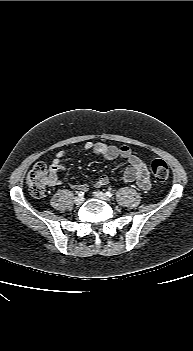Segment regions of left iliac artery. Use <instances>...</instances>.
<instances>
[{"label":"left iliac artery","instance_id":"obj_1","mask_svg":"<svg viewBox=\"0 0 193 351\" xmlns=\"http://www.w3.org/2000/svg\"><path fill=\"white\" fill-rule=\"evenodd\" d=\"M106 194H107V196H109V197L113 196V193L110 192V191H107Z\"/></svg>","mask_w":193,"mask_h":351}]
</instances>
